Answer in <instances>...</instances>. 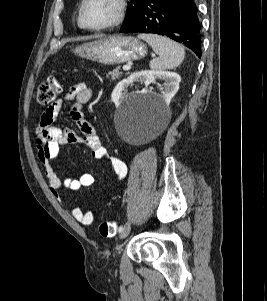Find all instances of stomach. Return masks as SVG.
Returning a JSON list of instances; mask_svg holds the SVG:
<instances>
[{
    "instance_id": "0dacf381",
    "label": "stomach",
    "mask_w": 267,
    "mask_h": 301,
    "mask_svg": "<svg viewBox=\"0 0 267 301\" xmlns=\"http://www.w3.org/2000/svg\"><path fill=\"white\" fill-rule=\"evenodd\" d=\"M72 51L79 57L113 65L142 59L147 47L137 38L118 35L84 43Z\"/></svg>"
}]
</instances>
